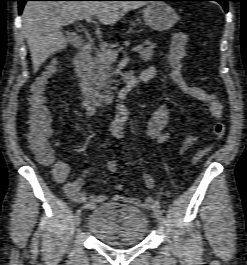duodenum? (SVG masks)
<instances>
[{
    "label": "duodenum",
    "mask_w": 247,
    "mask_h": 265,
    "mask_svg": "<svg viewBox=\"0 0 247 265\" xmlns=\"http://www.w3.org/2000/svg\"><path fill=\"white\" fill-rule=\"evenodd\" d=\"M91 51L92 48L89 43L83 44L76 55L75 66L84 96L92 100L95 104L106 106L115 98L119 99L125 96L130 89L138 86L142 82H146L144 78L139 79L133 72L127 71L123 76L125 86L116 95L101 91L95 86L91 76Z\"/></svg>",
    "instance_id": "obj_1"
}]
</instances>
